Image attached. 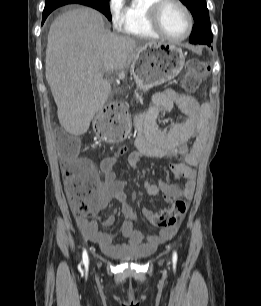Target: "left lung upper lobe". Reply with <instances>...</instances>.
Returning a JSON list of instances; mask_svg holds the SVG:
<instances>
[{
  "label": "left lung upper lobe",
  "instance_id": "obj_1",
  "mask_svg": "<svg viewBox=\"0 0 261 306\" xmlns=\"http://www.w3.org/2000/svg\"><path fill=\"white\" fill-rule=\"evenodd\" d=\"M191 11L195 24L192 29L189 41L194 44H207L213 40L210 30L209 12L206 0H180Z\"/></svg>",
  "mask_w": 261,
  "mask_h": 306
}]
</instances>
